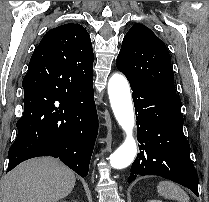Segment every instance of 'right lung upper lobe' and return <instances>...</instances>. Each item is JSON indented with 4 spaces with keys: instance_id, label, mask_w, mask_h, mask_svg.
<instances>
[{
    "instance_id": "1",
    "label": "right lung upper lobe",
    "mask_w": 209,
    "mask_h": 202,
    "mask_svg": "<svg viewBox=\"0 0 209 202\" xmlns=\"http://www.w3.org/2000/svg\"><path fill=\"white\" fill-rule=\"evenodd\" d=\"M29 68L48 71L62 86L81 88L91 84L93 50L89 33L74 23L51 29L35 49Z\"/></svg>"
}]
</instances>
